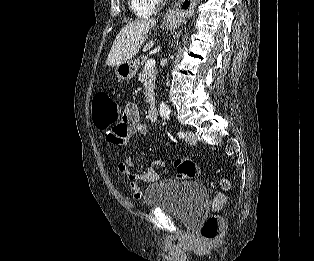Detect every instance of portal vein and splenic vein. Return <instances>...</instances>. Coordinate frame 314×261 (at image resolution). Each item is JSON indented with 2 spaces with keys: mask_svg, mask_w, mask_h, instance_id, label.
<instances>
[{
  "mask_svg": "<svg viewBox=\"0 0 314 261\" xmlns=\"http://www.w3.org/2000/svg\"><path fill=\"white\" fill-rule=\"evenodd\" d=\"M145 67H146L147 69H150V70L154 69V67H155V60H154V59H149V60L146 62Z\"/></svg>",
  "mask_w": 314,
  "mask_h": 261,
  "instance_id": "portal-vein-and-splenic-vein-1",
  "label": "portal vein and splenic vein"
}]
</instances>
